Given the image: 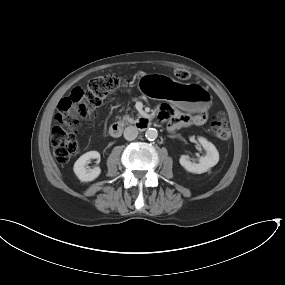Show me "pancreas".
I'll use <instances>...</instances> for the list:
<instances>
[{
  "label": "pancreas",
  "instance_id": "cf45deb5",
  "mask_svg": "<svg viewBox=\"0 0 285 285\" xmlns=\"http://www.w3.org/2000/svg\"><path fill=\"white\" fill-rule=\"evenodd\" d=\"M120 119V118H119ZM122 123H124V124H128V123H130V124H134V123H136L137 122V120H135L133 117H131L130 115H128V114H125L123 117H122Z\"/></svg>",
  "mask_w": 285,
  "mask_h": 285
}]
</instances>
